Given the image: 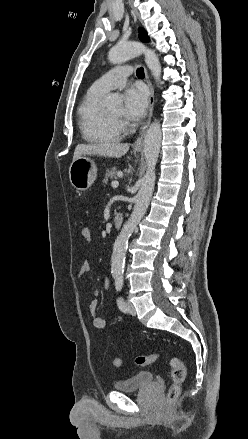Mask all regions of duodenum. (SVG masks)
I'll return each instance as SVG.
<instances>
[{
  "instance_id": "1",
  "label": "duodenum",
  "mask_w": 248,
  "mask_h": 439,
  "mask_svg": "<svg viewBox=\"0 0 248 439\" xmlns=\"http://www.w3.org/2000/svg\"><path fill=\"white\" fill-rule=\"evenodd\" d=\"M124 221V215L122 212L118 211L115 213L113 218V225L115 228H120Z\"/></svg>"
}]
</instances>
